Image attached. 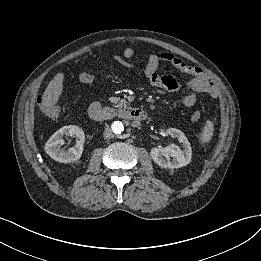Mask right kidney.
<instances>
[{
	"label": "right kidney",
	"mask_w": 261,
	"mask_h": 261,
	"mask_svg": "<svg viewBox=\"0 0 261 261\" xmlns=\"http://www.w3.org/2000/svg\"><path fill=\"white\" fill-rule=\"evenodd\" d=\"M75 136L78 141L75 147L67 151L61 149L64 144L63 136ZM85 134L83 130L75 125H68L56 131L46 142L45 151L55 161L62 163L75 162L80 159L83 152Z\"/></svg>",
	"instance_id": "ca27d5eb"
}]
</instances>
